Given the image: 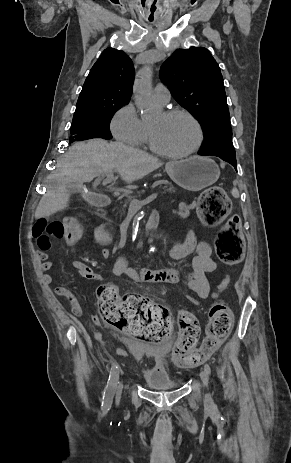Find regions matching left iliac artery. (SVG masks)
<instances>
[{
    "label": "left iliac artery",
    "mask_w": 291,
    "mask_h": 463,
    "mask_svg": "<svg viewBox=\"0 0 291 463\" xmlns=\"http://www.w3.org/2000/svg\"><path fill=\"white\" fill-rule=\"evenodd\" d=\"M204 369L207 371L208 374L211 373V369H210V366L208 364L204 365Z\"/></svg>",
    "instance_id": "left-iliac-artery-1"
}]
</instances>
